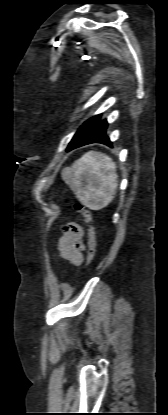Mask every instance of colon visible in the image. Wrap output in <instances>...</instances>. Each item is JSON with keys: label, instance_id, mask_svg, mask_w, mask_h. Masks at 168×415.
Returning a JSON list of instances; mask_svg holds the SVG:
<instances>
[{"label": "colon", "instance_id": "obj_1", "mask_svg": "<svg viewBox=\"0 0 168 415\" xmlns=\"http://www.w3.org/2000/svg\"><path fill=\"white\" fill-rule=\"evenodd\" d=\"M75 209L80 212L88 225V240H87V261L88 264H91L95 258L96 254V243H95V236H94V230L91 225L92 221V214L90 210L82 206L81 204H75Z\"/></svg>", "mask_w": 168, "mask_h": 415}]
</instances>
